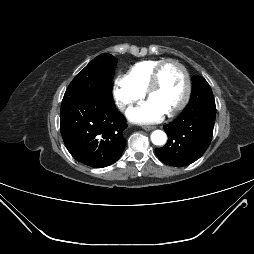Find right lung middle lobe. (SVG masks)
<instances>
[{
  "instance_id": "obj_1",
  "label": "right lung middle lobe",
  "mask_w": 254,
  "mask_h": 254,
  "mask_svg": "<svg viewBox=\"0 0 254 254\" xmlns=\"http://www.w3.org/2000/svg\"><path fill=\"white\" fill-rule=\"evenodd\" d=\"M116 64L111 54L97 56L72 80L64 96H78L98 103L112 101L111 83Z\"/></svg>"
}]
</instances>
